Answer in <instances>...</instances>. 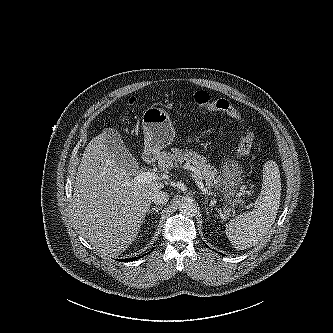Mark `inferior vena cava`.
I'll return each instance as SVG.
<instances>
[{
	"label": "inferior vena cava",
	"mask_w": 333,
	"mask_h": 333,
	"mask_svg": "<svg viewBox=\"0 0 333 333\" xmlns=\"http://www.w3.org/2000/svg\"><path fill=\"white\" fill-rule=\"evenodd\" d=\"M169 200V195L163 191H156L152 195V201L156 205H165Z\"/></svg>",
	"instance_id": "602c4592"
}]
</instances>
